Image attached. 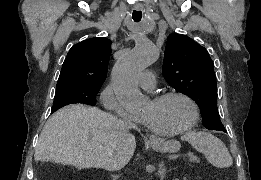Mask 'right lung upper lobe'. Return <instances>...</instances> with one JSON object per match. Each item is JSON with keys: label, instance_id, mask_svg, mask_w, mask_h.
I'll return each instance as SVG.
<instances>
[{"label": "right lung upper lobe", "instance_id": "cb5924a9", "mask_svg": "<svg viewBox=\"0 0 261 180\" xmlns=\"http://www.w3.org/2000/svg\"><path fill=\"white\" fill-rule=\"evenodd\" d=\"M111 41L105 37L87 39L75 44L62 65L57 86H101L107 77Z\"/></svg>", "mask_w": 261, "mask_h": 180}]
</instances>
